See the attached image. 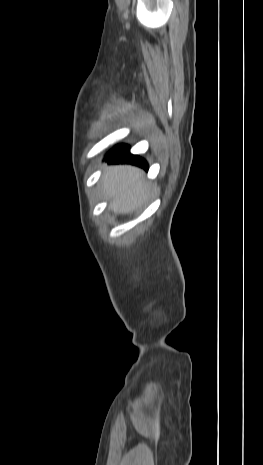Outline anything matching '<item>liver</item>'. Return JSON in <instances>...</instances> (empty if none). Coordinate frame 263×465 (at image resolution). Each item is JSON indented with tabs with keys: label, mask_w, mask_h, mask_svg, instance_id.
I'll return each mask as SVG.
<instances>
[{
	"label": "liver",
	"mask_w": 263,
	"mask_h": 465,
	"mask_svg": "<svg viewBox=\"0 0 263 465\" xmlns=\"http://www.w3.org/2000/svg\"><path fill=\"white\" fill-rule=\"evenodd\" d=\"M103 190L112 200L110 208L119 214H127L140 207L149 195L144 172L134 166L108 167L102 176Z\"/></svg>",
	"instance_id": "obj_1"
}]
</instances>
